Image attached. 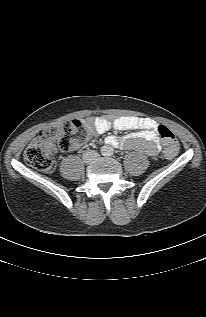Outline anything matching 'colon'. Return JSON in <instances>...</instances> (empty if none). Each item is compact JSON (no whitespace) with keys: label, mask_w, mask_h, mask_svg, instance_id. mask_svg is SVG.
I'll list each match as a JSON object with an SVG mask.
<instances>
[{"label":"colon","mask_w":206,"mask_h":317,"mask_svg":"<svg viewBox=\"0 0 206 317\" xmlns=\"http://www.w3.org/2000/svg\"><path fill=\"white\" fill-rule=\"evenodd\" d=\"M92 129L79 121H69L45 130L41 136L33 140L24 152V159L31 167L42 171L52 172L55 161L51 154L53 145L61 150L69 151L76 145L86 141ZM158 134L162 139L165 154L173 157L179 149L178 139L167 127L160 125Z\"/></svg>","instance_id":"colon-1"}]
</instances>
